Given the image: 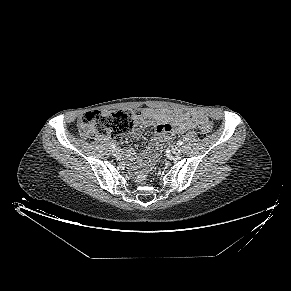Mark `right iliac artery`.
Masks as SVG:
<instances>
[{
	"mask_svg": "<svg viewBox=\"0 0 291 291\" xmlns=\"http://www.w3.org/2000/svg\"><path fill=\"white\" fill-rule=\"evenodd\" d=\"M111 147H112L113 149H115L116 144H115V143H112V144H111Z\"/></svg>",
	"mask_w": 291,
	"mask_h": 291,
	"instance_id": "1",
	"label": "right iliac artery"
}]
</instances>
